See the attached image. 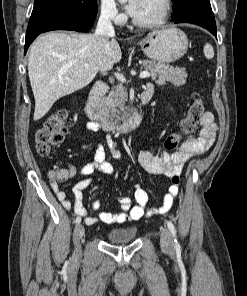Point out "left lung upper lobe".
Here are the masks:
<instances>
[{
    "label": "left lung upper lobe",
    "instance_id": "1",
    "mask_svg": "<svg viewBox=\"0 0 247 296\" xmlns=\"http://www.w3.org/2000/svg\"><path fill=\"white\" fill-rule=\"evenodd\" d=\"M174 3V10L172 15L177 14L186 9L195 0H172Z\"/></svg>",
    "mask_w": 247,
    "mask_h": 296
}]
</instances>
